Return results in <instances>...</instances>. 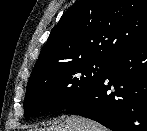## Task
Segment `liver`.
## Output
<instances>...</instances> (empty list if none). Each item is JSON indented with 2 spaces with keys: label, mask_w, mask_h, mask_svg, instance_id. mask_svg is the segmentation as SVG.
I'll list each match as a JSON object with an SVG mask.
<instances>
[{
  "label": "liver",
  "mask_w": 147,
  "mask_h": 131,
  "mask_svg": "<svg viewBox=\"0 0 147 131\" xmlns=\"http://www.w3.org/2000/svg\"><path fill=\"white\" fill-rule=\"evenodd\" d=\"M107 131L99 123L80 116H68L62 123L45 129L35 131ZM32 131V130H31Z\"/></svg>",
  "instance_id": "liver-1"
}]
</instances>
